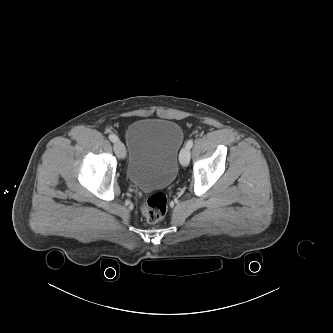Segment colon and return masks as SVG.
<instances>
[{
  "instance_id": "1",
  "label": "colon",
  "mask_w": 333,
  "mask_h": 333,
  "mask_svg": "<svg viewBox=\"0 0 333 333\" xmlns=\"http://www.w3.org/2000/svg\"><path fill=\"white\" fill-rule=\"evenodd\" d=\"M167 208L166 195L163 193H155L147 199L141 211L149 223H156L165 217Z\"/></svg>"
}]
</instances>
